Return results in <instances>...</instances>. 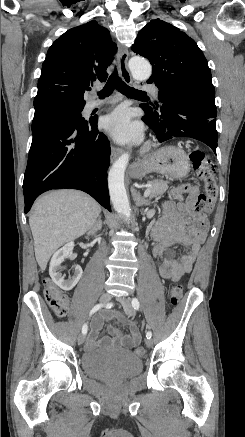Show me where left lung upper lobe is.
<instances>
[{
  "label": "left lung upper lobe",
  "mask_w": 245,
  "mask_h": 437,
  "mask_svg": "<svg viewBox=\"0 0 245 437\" xmlns=\"http://www.w3.org/2000/svg\"><path fill=\"white\" fill-rule=\"evenodd\" d=\"M132 50L153 67L148 83L167 94L195 97L216 107L207 60L186 33L160 19L151 20L139 31Z\"/></svg>",
  "instance_id": "1"
}]
</instances>
